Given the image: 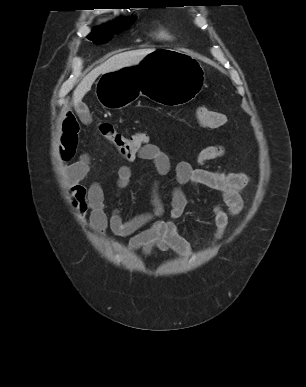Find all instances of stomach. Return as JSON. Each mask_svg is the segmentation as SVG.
Wrapping results in <instances>:
<instances>
[{"label":"stomach","instance_id":"1","mask_svg":"<svg viewBox=\"0 0 306 387\" xmlns=\"http://www.w3.org/2000/svg\"><path fill=\"white\" fill-rule=\"evenodd\" d=\"M203 84L204 69L196 59L167 46H154L137 66L107 70L97 81L96 94L109 109L124 108L138 95L154 99L163 108H182L192 103Z\"/></svg>","mask_w":306,"mask_h":387}]
</instances>
